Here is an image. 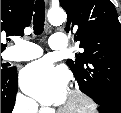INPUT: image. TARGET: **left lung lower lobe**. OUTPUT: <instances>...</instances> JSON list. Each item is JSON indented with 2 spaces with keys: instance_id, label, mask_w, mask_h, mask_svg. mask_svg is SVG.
I'll list each match as a JSON object with an SVG mask.
<instances>
[{
  "instance_id": "obj_1",
  "label": "left lung lower lobe",
  "mask_w": 121,
  "mask_h": 113,
  "mask_svg": "<svg viewBox=\"0 0 121 113\" xmlns=\"http://www.w3.org/2000/svg\"><path fill=\"white\" fill-rule=\"evenodd\" d=\"M101 106L100 113H121V106L107 101H97Z\"/></svg>"
}]
</instances>
